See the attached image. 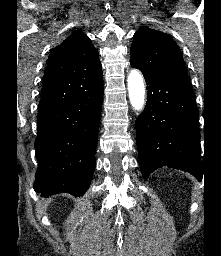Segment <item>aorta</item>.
<instances>
[{
  "mask_svg": "<svg viewBox=\"0 0 221 256\" xmlns=\"http://www.w3.org/2000/svg\"><path fill=\"white\" fill-rule=\"evenodd\" d=\"M128 93L130 103L136 111H140L145 104V85L142 74L132 70L128 75Z\"/></svg>",
  "mask_w": 221,
  "mask_h": 256,
  "instance_id": "762f6f07",
  "label": "aorta"
}]
</instances>
